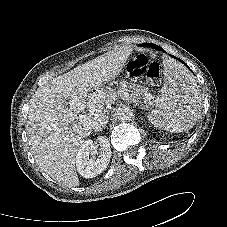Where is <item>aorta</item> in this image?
I'll use <instances>...</instances> for the list:
<instances>
[{
    "label": "aorta",
    "mask_w": 227,
    "mask_h": 227,
    "mask_svg": "<svg viewBox=\"0 0 227 227\" xmlns=\"http://www.w3.org/2000/svg\"><path fill=\"white\" fill-rule=\"evenodd\" d=\"M117 119L121 122L130 121L133 117V112L129 107H120L116 112Z\"/></svg>",
    "instance_id": "762f6f07"
}]
</instances>
